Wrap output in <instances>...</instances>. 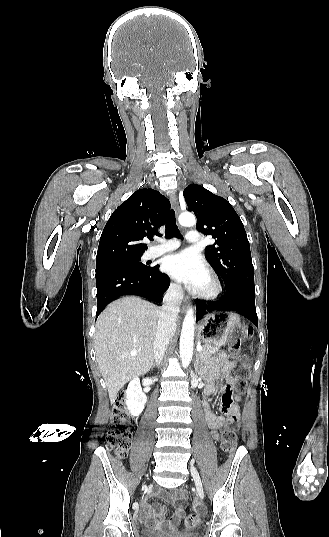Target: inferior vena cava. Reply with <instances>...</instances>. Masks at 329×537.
I'll return each mask as SVG.
<instances>
[{"label": "inferior vena cava", "mask_w": 329, "mask_h": 537, "mask_svg": "<svg viewBox=\"0 0 329 537\" xmlns=\"http://www.w3.org/2000/svg\"><path fill=\"white\" fill-rule=\"evenodd\" d=\"M182 299V287L176 284L171 285L164 295L154 341V357L158 365L162 361L170 339L174 334Z\"/></svg>", "instance_id": "602c4592"}]
</instances>
